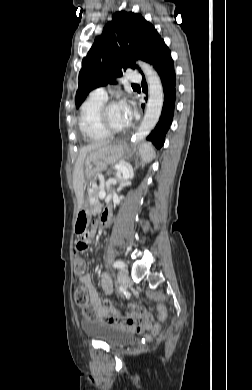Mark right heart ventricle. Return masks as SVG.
<instances>
[{"label":"right heart ventricle","instance_id":"obj_1","mask_svg":"<svg viewBox=\"0 0 252 390\" xmlns=\"http://www.w3.org/2000/svg\"><path fill=\"white\" fill-rule=\"evenodd\" d=\"M106 99L90 95L81 105L79 128L89 142L107 140L110 135L105 133L98 122V111Z\"/></svg>","mask_w":252,"mask_h":390}]
</instances>
